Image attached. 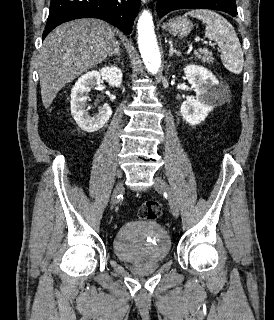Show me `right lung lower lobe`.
Returning <instances> with one entry per match:
<instances>
[{
    "mask_svg": "<svg viewBox=\"0 0 274 320\" xmlns=\"http://www.w3.org/2000/svg\"><path fill=\"white\" fill-rule=\"evenodd\" d=\"M140 0H51L42 38L58 25L80 18H98L130 34Z\"/></svg>",
    "mask_w": 274,
    "mask_h": 320,
    "instance_id": "obj_1",
    "label": "right lung lower lobe"
}]
</instances>
